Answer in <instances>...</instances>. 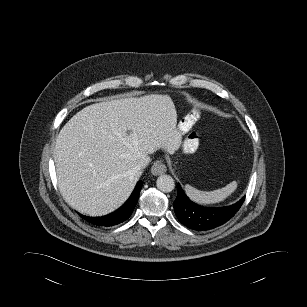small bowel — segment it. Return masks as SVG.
<instances>
[{
  "label": "small bowel",
  "instance_id": "1",
  "mask_svg": "<svg viewBox=\"0 0 307 307\" xmlns=\"http://www.w3.org/2000/svg\"><path fill=\"white\" fill-rule=\"evenodd\" d=\"M198 118H199V112L194 111L188 117L187 121L190 122V123H194Z\"/></svg>",
  "mask_w": 307,
  "mask_h": 307
}]
</instances>
